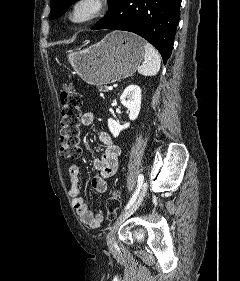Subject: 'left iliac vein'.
<instances>
[{"mask_svg":"<svg viewBox=\"0 0 240 281\" xmlns=\"http://www.w3.org/2000/svg\"><path fill=\"white\" fill-rule=\"evenodd\" d=\"M147 188H148V183L144 182L143 185L141 186L139 195H138L137 199L135 200V202L124 213H122L117 218L115 223L110 228V232L107 235V244H108L109 250L112 253H116V251H117V243H116V239H115V234H116L119 226L127 218H129L138 209V207L141 205V203H142V201H143V199L146 195Z\"/></svg>","mask_w":240,"mask_h":281,"instance_id":"4c4485c4","label":"left iliac vein"}]
</instances>
